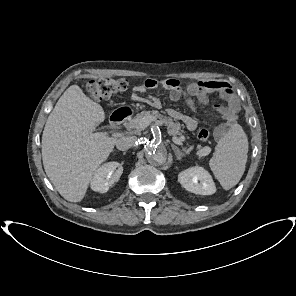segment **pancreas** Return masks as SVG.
<instances>
[{
	"label": "pancreas",
	"instance_id": "obj_1",
	"mask_svg": "<svg viewBox=\"0 0 296 296\" xmlns=\"http://www.w3.org/2000/svg\"><path fill=\"white\" fill-rule=\"evenodd\" d=\"M152 117L153 120L158 124V125H164L167 127L168 134L176 136L179 135L181 140H185V137L182 135L181 131V125L179 122L174 121L170 117H166L161 115L158 111H142L139 114H136L134 118H129L124 122V125L128 129H138L139 127V122L142 118L144 117ZM193 149L192 146H190L188 149H184L185 152L189 153ZM197 154L199 156H204L202 155V149H200Z\"/></svg>",
	"mask_w": 296,
	"mask_h": 296
}]
</instances>
